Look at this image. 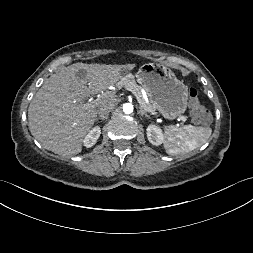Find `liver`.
<instances>
[{
    "instance_id": "obj_1",
    "label": "liver",
    "mask_w": 253,
    "mask_h": 253,
    "mask_svg": "<svg viewBox=\"0 0 253 253\" xmlns=\"http://www.w3.org/2000/svg\"><path fill=\"white\" fill-rule=\"evenodd\" d=\"M134 65L75 63L51 75L28 108V126L41 145L56 154L70 156L82 151V143L97 117L98 105L84 103L90 94L103 93ZM111 101V100H110Z\"/></svg>"
}]
</instances>
